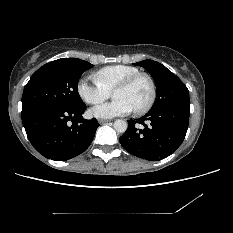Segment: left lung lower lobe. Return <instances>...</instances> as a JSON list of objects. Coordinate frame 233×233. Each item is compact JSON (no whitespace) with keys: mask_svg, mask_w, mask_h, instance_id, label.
Here are the masks:
<instances>
[{"mask_svg":"<svg viewBox=\"0 0 233 233\" xmlns=\"http://www.w3.org/2000/svg\"><path fill=\"white\" fill-rule=\"evenodd\" d=\"M189 115L190 102L150 110L139 119L128 120V128L120 137V143L134 156L150 161L161 160L182 144Z\"/></svg>","mask_w":233,"mask_h":233,"instance_id":"obj_1","label":"left lung lower lobe"}]
</instances>
